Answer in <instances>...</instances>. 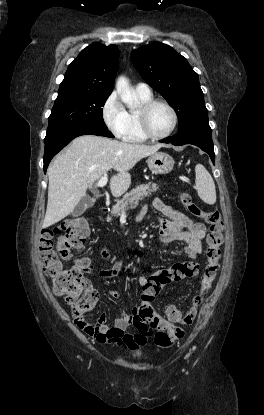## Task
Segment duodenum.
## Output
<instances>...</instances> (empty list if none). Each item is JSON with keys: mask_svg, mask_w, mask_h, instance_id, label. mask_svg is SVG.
Segmentation results:
<instances>
[{"mask_svg": "<svg viewBox=\"0 0 264 415\" xmlns=\"http://www.w3.org/2000/svg\"><path fill=\"white\" fill-rule=\"evenodd\" d=\"M98 212H99V213H102V212H104V210H98Z\"/></svg>", "mask_w": 264, "mask_h": 415, "instance_id": "410a0bca", "label": "duodenum"}]
</instances>
